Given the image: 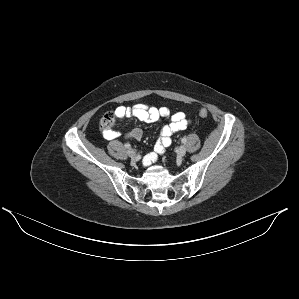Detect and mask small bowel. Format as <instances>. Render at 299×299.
Segmentation results:
<instances>
[{
	"label": "small bowel",
	"instance_id": "c3829d8e",
	"mask_svg": "<svg viewBox=\"0 0 299 299\" xmlns=\"http://www.w3.org/2000/svg\"><path fill=\"white\" fill-rule=\"evenodd\" d=\"M114 114L117 118L135 117L144 122H159L162 118L168 117L170 112L166 107L156 108L144 104H136L132 107L118 106L114 110ZM187 125V116L184 112L172 114L168 123L160 125V138L155 143L153 151L144 157L143 163L145 165L155 163L171 146L173 135L185 130ZM103 134L108 140L121 136V133L115 130L104 131ZM123 137L129 140H140L142 130L140 128L130 129L123 134Z\"/></svg>",
	"mask_w": 299,
	"mask_h": 299
}]
</instances>
